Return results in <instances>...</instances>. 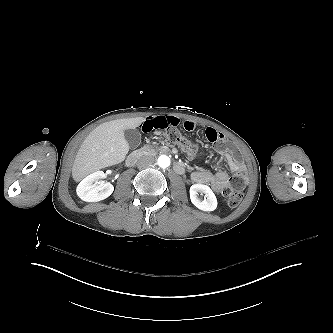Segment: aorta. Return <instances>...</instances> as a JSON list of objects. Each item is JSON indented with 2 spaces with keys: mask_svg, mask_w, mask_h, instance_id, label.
<instances>
[{
  "mask_svg": "<svg viewBox=\"0 0 333 333\" xmlns=\"http://www.w3.org/2000/svg\"><path fill=\"white\" fill-rule=\"evenodd\" d=\"M158 165L161 168H167L170 165V158L166 155H161L158 158Z\"/></svg>",
  "mask_w": 333,
  "mask_h": 333,
  "instance_id": "1",
  "label": "aorta"
}]
</instances>
